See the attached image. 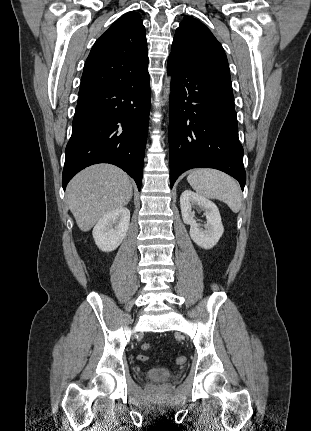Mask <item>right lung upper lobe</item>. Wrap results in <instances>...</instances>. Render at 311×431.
<instances>
[{
    "label": "right lung upper lobe",
    "instance_id": "1",
    "mask_svg": "<svg viewBox=\"0 0 311 431\" xmlns=\"http://www.w3.org/2000/svg\"><path fill=\"white\" fill-rule=\"evenodd\" d=\"M148 66L146 31L128 12L98 38L86 60L79 94L131 81Z\"/></svg>",
    "mask_w": 311,
    "mask_h": 431
}]
</instances>
